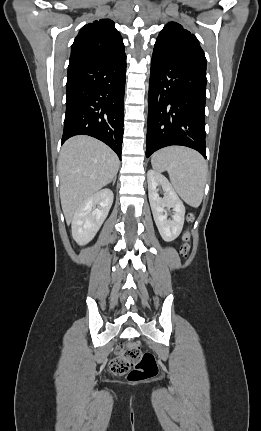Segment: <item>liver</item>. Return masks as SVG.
Here are the masks:
<instances>
[{
    "label": "liver",
    "mask_w": 261,
    "mask_h": 431,
    "mask_svg": "<svg viewBox=\"0 0 261 431\" xmlns=\"http://www.w3.org/2000/svg\"><path fill=\"white\" fill-rule=\"evenodd\" d=\"M119 164L114 151L93 137L79 135L64 143L58 169L61 205L67 223L89 197L113 180Z\"/></svg>",
    "instance_id": "liver-1"
}]
</instances>
